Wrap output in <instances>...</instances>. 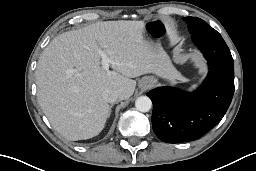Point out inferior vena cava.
Returning <instances> with one entry per match:
<instances>
[{
  "label": "inferior vena cava",
  "mask_w": 256,
  "mask_h": 171,
  "mask_svg": "<svg viewBox=\"0 0 256 171\" xmlns=\"http://www.w3.org/2000/svg\"><path fill=\"white\" fill-rule=\"evenodd\" d=\"M119 97V93L115 89L107 88L103 91V98L108 103L115 102Z\"/></svg>",
  "instance_id": "1"
}]
</instances>
